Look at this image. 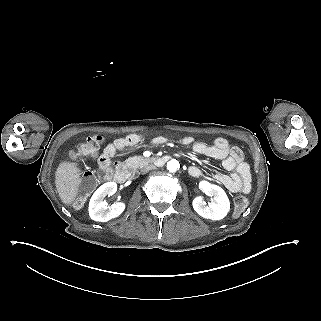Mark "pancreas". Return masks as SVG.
<instances>
[{"mask_svg": "<svg viewBox=\"0 0 321 321\" xmlns=\"http://www.w3.org/2000/svg\"><path fill=\"white\" fill-rule=\"evenodd\" d=\"M150 161H151L150 158H145L143 156H134V157H129L126 160V164L128 166H136L138 168V167L147 165L148 163H150Z\"/></svg>", "mask_w": 321, "mask_h": 321, "instance_id": "pancreas-1", "label": "pancreas"}]
</instances>
